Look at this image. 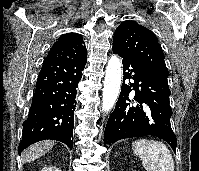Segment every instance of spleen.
<instances>
[{"label":"spleen","mask_w":199,"mask_h":171,"mask_svg":"<svg viewBox=\"0 0 199 171\" xmlns=\"http://www.w3.org/2000/svg\"><path fill=\"white\" fill-rule=\"evenodd\" d=\"M132 149L141 158L146 171H174L172 155L162 142L139 139L133 142Z\"/></svg>","instance_id":"3e777b00"}]
</instances>
